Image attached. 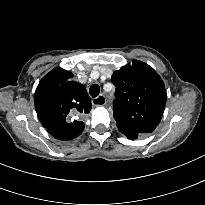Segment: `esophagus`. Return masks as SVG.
Segmentation results:
<instances>
[{
  "label": "esophagus",
  "mask_w": 205,
  "mask_h": 205,
  "mask_svg": "<svg viewBox=\"0 0 205 205\" xmlns=\"http://www.w3.org/2000/svg\"><path fill=\"white\" fill-rule=\"evenodd\" d=\"M106 103V98L104 95H99L98 97L92 100L94 106H103Z\"/></svg>",
  "instance_id": "34e87169"
}]
</instances>
